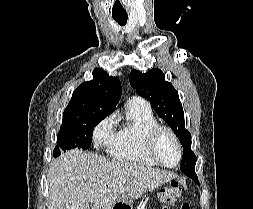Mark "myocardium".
I'll return each mask as SVG.
<instances>
[{
    "instance_id": "myocardium-1",
    "label": "myocardium",
    "mask_w": 253,
    "mask_h": 209,
    "mask_svg": "<svg viewBox=\"0 0 253 209\" xmlns=\"http://www.w3.org/2000/svg\"><path fill=\"white\" fill-rule=\"evenodd\" d=\"M161 132H167L168 134H170V136L173 138L176 144L177 151H178V159L176 163L173 165H168L164 163L155 152V143H156L158 135ZM144 152L147 155V157L150 158L153 162L169 169L177 167L180 164L181 159H182V146L177 134L174 132L172 128L165 125H160V124H157L151 127L146 133V136L144 139Z\"/></svg>"
}]
</instances>
